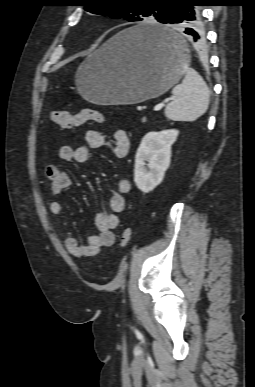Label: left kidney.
<instances>
[{
    "mask_svg": "<svg viewBox=\"0 0 255 387\" xmlns=\"http://www.w3.org/2000/svg\"><path fill=\"white\" fill-rule=\"evenodd\" d=\"M178 130L147 133L135 156L134 181L144 193L159 185L170 165L171 146L176 141ZM147 162V163H146Z\"/></svg>",
    "mask_w": 255,
    "mask_h": 387,
    "instance_id": "5707ae66",
    "label": "left kidney"
}]
</instances>
